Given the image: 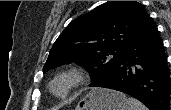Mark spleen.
Returning <instances> with one entry per match:
<instances>
[{"mask_svg": "<svg viewBox=\"0 0 171 110\" xmlns=\"http://www.w3.org/2000/svg\"><path fill=\"white\" fill-rule=\"evenodd\" d=\"M127 110H147V108L134 98L127 99Z\"/></svg>", "mask_w": 171, "mask_h": 110, "instance_id": "3e777b00", "label": "spleen"}]
</instances>
